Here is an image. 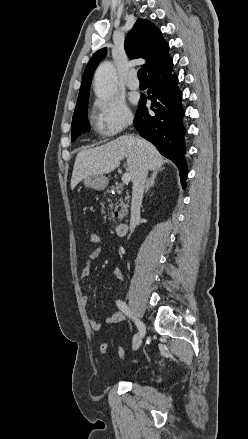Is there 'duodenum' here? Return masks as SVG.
Segmentation results:
<instances>
[{
    "label": "duodenum",
    "mask_w": 248,
    "mask_h": 439,
    "mask_svg": "<svg viewBox=\"0 0 248 439\" xmlns=\"http://www.w3.org/2000/svg\"><path fill=\"white\" fill-rule=\"evenodd\" d=\"M127 229H128V224L126 222H119L115 226L116 234L119 236L125 234Z\"/></svg>",
    "instance_id": "1"
}]
</instances>
